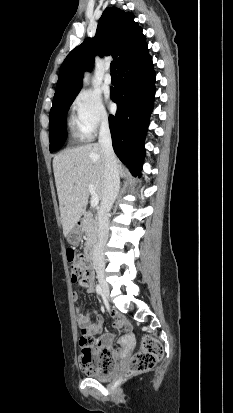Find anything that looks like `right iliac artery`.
<instances>
[{
    "mask_svg": "<svg viewBox=\"0 0 233 413\" xmlns=\"http://www.w3.org/2000/svg\"><path fill=\"white\" fill-rule=\"evenodd\" d=\"M96 291H97V293H98L99 295H102V288H101L100 285H97V286H96Z\"/></svg>",
    "mask_w": 233,
    "mask_h": 413,
    "instance_id": "82829eb1",
    "label": "right iliac artery"
}]
</instances>
